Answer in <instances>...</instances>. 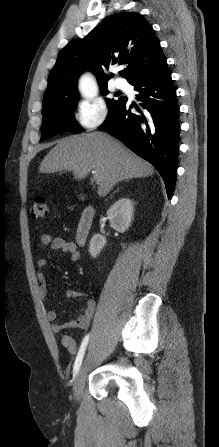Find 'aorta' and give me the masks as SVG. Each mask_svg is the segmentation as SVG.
I'll return each mask as SVG.
<instances>
[{"label": "aorta", "mask_w": 219, "mask_h": 447, "mask_svg": "<svg viewBox=\"0 0 219 447\" xmlns=\"http://www.w3.org/2000/svg\"><path fill=\"white\" fill-rule=\"evenodd\" d=\"M80 91L82 96L87 100H92L96 96L95 87L92 83L90 76L86 75L82 77L80 83Z\"/></svg>", "instance_id": "762f6f07"}]
</instances>
